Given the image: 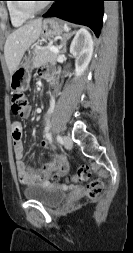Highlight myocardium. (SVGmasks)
I'll list each match as a JSON object with an SVG mask.
<instances>
[{"instance_id":"obj_1","label":"myocardium","mask_w":133,"mask_h":253,"mask_svg":"<svg viewBox=\"0 0 133 253\" xmlns=\"http://www.w3.org/2000/svg\"><path fill=\"white\" fill-rule=\"evenodd\" d=\"M18 2H16V7L18 9V11L24 15V16H28V17H32L38 13H40L41 11H43L46 6H47V3H43L41 4L40 6L38 7H35V8H32L30 6L27 5V3H24L22 1L24 0H17Z\"/></svg>"}]
</instances>
